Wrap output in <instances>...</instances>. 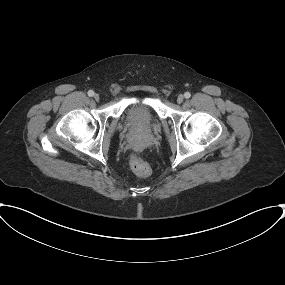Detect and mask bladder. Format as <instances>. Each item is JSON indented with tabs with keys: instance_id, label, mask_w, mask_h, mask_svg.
Returning <instances> with one entry per match:
<instances>
[{
	"instance_id": "obj_1",
	"label": "bladder",
	"mask_w": 285,
	"mask_h": 285,
	"mask_svg": "<svg viewBox=\"0 0 285 285\" xmlns=\"http://www.w3.org/2000/svg\"><path fill=\"white\" fill-rule=\"evenodd\" d=\"M129 125L137 130H149L154 124V116L149 108L138 105L131 108L127 115Z\"/></svg>"
}]
</instances>
